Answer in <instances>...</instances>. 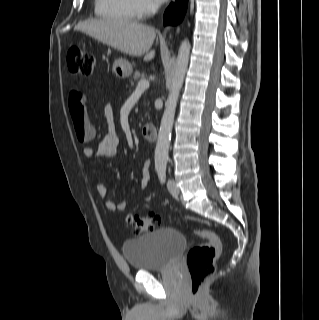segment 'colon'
Listing matches in <instances>:
<instances>
[{
  "instance_id": "1",
  "label": "colon",
  "mask_w": 319,
  "mask_h": 320,
  "mask_svg": "<svg viewBox=\"0 0 319 320\" xmlns=\"http://www.w3.org/2000/svg\"><path fill=\"white\" fill-rule=\"evenodd\" d=\"M69 70L78 75L88 76L91 74L94 57L91 53L79 48H71L67 54ZM75 134L78 141L84 143L92 137V131L82 123H74ZM128 225L134 235L144 231L153 230L160 226L161 219L156 214L140 216L131 214L128 216ZM195 235L206 240V243L193 246L187 253L186 263L191 276L189 292L191 296L197 297L205 281L215 271V262L222 249L220 237L210 230L198 229Z\"/></svg>"
}]
</instances>
